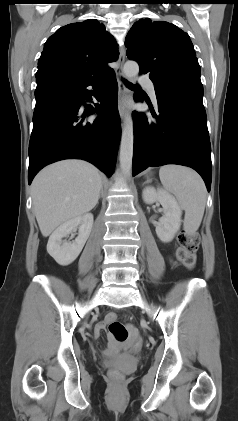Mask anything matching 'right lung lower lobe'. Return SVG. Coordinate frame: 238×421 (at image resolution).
<instances>
[{
  "label": "right lung lower lobe",
  "instance_id": "obj_1",
  "mask_svg": "<svg viewBox=\"0 0 238 421\" xmlns=\"http://www.w3.org/2000/svg\"><path fill=\"white\" fill-rule=\"evenodd\" d=\"M88 86H93L100 104H85L84 100H91L93 94ZM117 91L113 71L88 79L37 81L29 143V184L44 166L69 158L84 159L108 177L112 175L121 134ZM94 113H99L95 120H85Z\"/></svg>",
  "mask_w": 238,
  "mask_h": 421
}]
</instances>
